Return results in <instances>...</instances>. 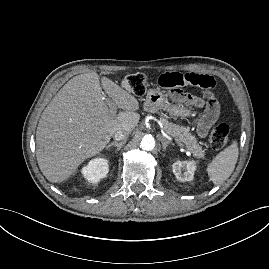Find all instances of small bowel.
Returning a JSON list of instances; mask_svg holds the SVG:
<instances>
[{"instance_id":"c3829d8e","label":"small bowel","mask_w":269,"mask_h":269,"mask_svg":"<svg viewBox=\"0 0 269 269\" xmlns=\"http://www.w3.org/2000/svg\"><path fill=\"white\" fill-rule=\"evenodd\" d=\"M157 84L166 89L186 86L197 97L178 92L175 94L178 101L188 102L204 108L202 116L197 122V132L200 136H205L208 129L218 120L220 116L219 104L205 101L201 97L203 89H216V82L208 74L168 72L157 77ZM199 99L206 102V104Z\"/></svg>"}]
</instances>
